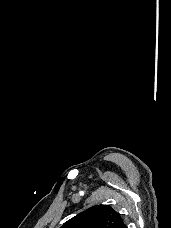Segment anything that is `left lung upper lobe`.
Returning <instances> with one entry per match:
<instances>
[{
    "label": "left lung upper lobe",
    "mask_w": 171,
    "mask_h": 228,
    "mask_svg": "<svg viewBox=\"0 0 171 228\" xmlns=\"http://www.w3.org/2000/svg\"><path fill=\"white\" fill-rule=\"evenodd\" d=\"M124 226L120 214L110 206L97 205L71 218L61 228H123Z\"/></svg>",
    "instance_id": "left-lung-upper-lobe-1"
}]
</instances>
